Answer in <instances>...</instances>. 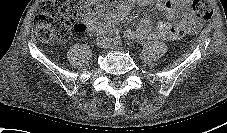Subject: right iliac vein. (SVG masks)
Wrapping results in <instances>:
<instances>
[{
	"label": "right iliac vein",
	"instance_id": "obj_1",
	"mask_svg": "<svg viewBox=\"0 0 227 133\" xmlns=\"http://www.w3.org/2000/svg\"><path fill=\"white\" fill-rule=\"evenodd\" d=\"M109 43H110V41H108V40L105 39V38H99V39L97 40V46H98L99 48H107L108 45H109Z\"/></svg>",
	"mask_w": 227,
	"mask_h": 133
}]
</instances>
